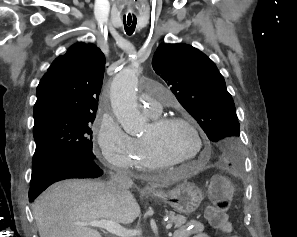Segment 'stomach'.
Instances as JSON below:
<instances>
[{"label":"stomach","instance_id":"0dacf381","mask_svg":"<svg viewBox=\"0 0 297 237\" xmlns=\"http://www.w3.org/2000/svg\"><path fill=\"white\" fill-rule=\"evenodd\" d=\"M153 195L168 203L176 211L191 214L203 200L202 191L194 183L183 182L167 193L153 192Z\"/></svg>","mask_w":297,"mask_h":237}]
</instances>
